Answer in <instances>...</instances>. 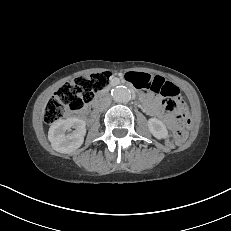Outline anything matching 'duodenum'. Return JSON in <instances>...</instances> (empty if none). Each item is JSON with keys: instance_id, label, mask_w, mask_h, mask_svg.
Wrapping results in <instances>:
<instances>
[{"instance_id": "duodenum-1", "label": "duodenum", "mask_w": 231, "mask_h": 231, "mask_svg": "<svg viewBox=\"0 0 231 231\" xmlns=\"http://www.w3.org/2000/svg\"><path fill=\"white\" fill-rule=\"evenodd\" d=\"M142 98H143L144 101H145L144 95H142ZM98 106H99V101H96L94 104H92V106L90 107L89 111H90V112L95 111V110L98 108Z\"/></svg>"}]
</instances>
